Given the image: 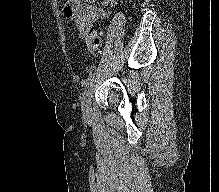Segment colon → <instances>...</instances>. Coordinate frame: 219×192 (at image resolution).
I'll use <instances>...</instances> for the list:
<instances>
[{"mask_svg":"<svg viewBox=\"0 0 219 192\" xmlns=\"http://www.w3.org/2000/svg\"><path fill=\"white\" fill-rule=\"evenodd\" d=\"M91 37H92L90 43L91 52L99 50L102 46V39L100 33L97 30H93L91 33Z\"/></svg>","mask_w":219,"mask_h":192,"instance_id":"obj_1","label":"colon"}]
</instances>
